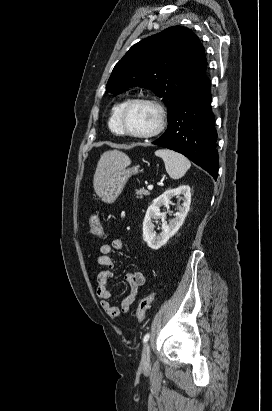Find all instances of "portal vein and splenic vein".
Listing matches in <instances>:
<instances>
[{"instance_id":"18ae733b","label":"portal vein and splenic vein","mask_w":272,"mask_h":411,"mask_svg":"<svg viewBox=\"0 0 272 411\" xmlns=\"http://www.w3.org/2000/svg\"><path fill=\"white\" fill-rule=\"evenodd\" d=\"M149 190H152L153 189V185L152 184H150V185H148V187H147Z\"/></svg>"}]
</instances>
